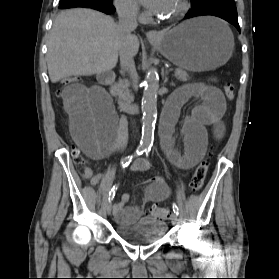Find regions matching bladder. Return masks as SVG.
<instances>
[{
  "mask_svg": "<svg viewBox=\"0 0 279 279\" xmlns=\"http://www.w3.org/2000/svg\"><path fill=\"white\" fill-rule=\"evenodd\" d=\"M167 231L163 220L143 217L132 225L118 223L115 232L122 240L135 245L151 244L162 239Z\"/></svg>",
  "mask_w": 279,
  "mask_h": 279,
  "instance_id": "obj_1",
  "label": "bladder"
}]
</instances>
